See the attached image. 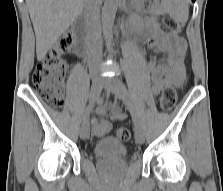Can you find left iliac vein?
<instances>
[{
    "mask_svg": "<svg viewBox=\"0 0 223 191\" xmlns=\"http://www.w3.org/2000/svg\"><path fill=\"white\" fill-rule=\"evenodd\" d=\"M103 83L108 91L114 93L115 96L124 103H127V89L125 84L120 79L116 77H110L105 79ZM135 140L138 144H142L145 140L144 132L140 126L135 128Z\"/></svg>",
    "mask_w": 223,
    "mask_h": 191,
    "instance_id": "4c4485c4",
    "label": "left iliac vein"
}]
</instances>
